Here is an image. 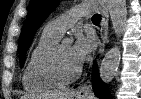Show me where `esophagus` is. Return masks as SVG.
<instances>
[{"mask_svg": "<svg viewBox=\"0 0 141 99\" xmlns=\"http://www.w3.org/2000/svg\"><path fill=\"white\" fill-rule=\"evenodd\" d=\"M98 4L102 13V20L100 24V48L98 55L101 56L105 50L106 43L108 42V22H109V13L108 9L103 0H98ZM92 93L91 81L88 80L78 90V95L87 96Z\"/></svg>", "mask_w": 141, "mask_h": 99, "instance_id": "34e87169", "label": "esophagus"}]
</instances>
